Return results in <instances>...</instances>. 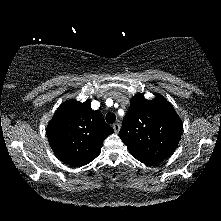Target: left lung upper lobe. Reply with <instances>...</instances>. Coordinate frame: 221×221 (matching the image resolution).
Returning <instances> with one entry per match:
<instances>
[{
	"label": "left lung upper lobe",
	"mask_w": 221,
	"mask_h": 221,
	"mask_svg": "<svg viewBox=\"0 0 221 221\" xmlns=\"http://www.w3.org/2000/svg\"><path fill=\"white\" fill-rule=\"evenodd\" d=\"M182 125L173 106L162 95L148 100L139 94L131 98L119 136L137 160L156 165L176 149Z\"/></svg>",
	"instance_id": "1"
}]
</instances>
